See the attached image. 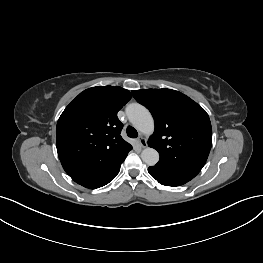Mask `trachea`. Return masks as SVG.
<instances>
[{"label":"trachea","instance_id":"3493384b","mask_svg":"<svg viewBox=\"0 0 263 263\" xmlns=\"http://www.w3.org/2000/svg\"><path fill=\"white\" fill-rule=\"evenodd\" d=\"M126 133H127L128 137H130V138H137V136H138L137 130L132 126L127 127Z\"/></svg>","mask_w":263,"mask_h":263}]
</instances>
